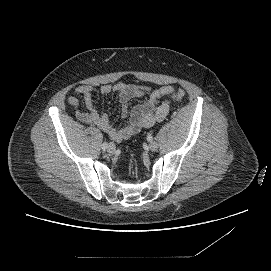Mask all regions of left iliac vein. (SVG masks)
Here are the masks:
<instances>
[{"mask_svg": "<svg viewBox=\"0 0 271 271\" xmlns=\"http://www.w3.org/2000/svg\"><path fill=\"white\" fill-rule=\"evenodd\" d=\"M149 149L152 151H156L158 149V143L153 141L149 144Z\"/></svg>", "mask_w": 271, "mask_h": 271, "instance_id": "1", "label": "left iliac vein"}]
</instances>
